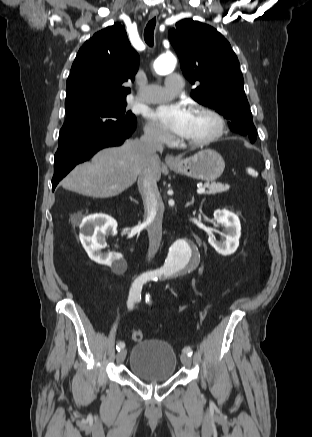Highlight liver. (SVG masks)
<instances>
[{"label": "liver", "instance_id": "liver-1", "mask_svg": "<svg viewBox=\"0 0 312 437\" xmlns=\"http://www.w3.org/2000/svg\"><path fill=\"white\" fill-rule=\"evenodd\" d=\"M146 162L138 139H128L123 145L105 148L90 162L76 166L61 182L64 189L93 198L117 196L132 186L143 174ZM156 181L161 178L158 157L153 168Z\"/></svg>", "mask_w": 312, "mask_h": 437}]
</instances>
